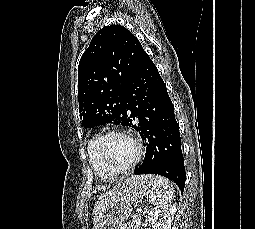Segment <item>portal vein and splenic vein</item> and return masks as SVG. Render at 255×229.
<instances>
[{
	"mask_svg": "<svg viewBox=\"0 0 255 229\" xmlns=\"http://www.w3.org/2000/svg\"><path fill=\"white\" fill-rule=\"evenodd\" d=\"M137 212L140 213V212H141V209H137Z\"/></svg>",
	"mask_w": 255,
	"mask_h": 229,
	"instance_id": "obj_1",
	"label": "portal vein and splenic vein"
}]
</instances>
